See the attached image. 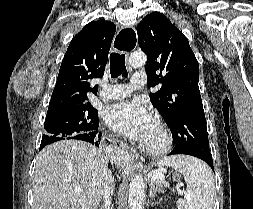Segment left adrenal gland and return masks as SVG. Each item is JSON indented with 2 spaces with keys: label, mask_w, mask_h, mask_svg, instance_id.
<instances>
[{
  "label": "left adrenal gland",
  "mask_w": 253,
  "mask_h": 209,
  "mask_svg": "<svg viewBox=\"0 0 253 209\" xmlns=\"http://www.w3.org/2000/svg\"><path fill=\"white\" fill-rule=\"evenodd\" d=\"M156 193H157V189L155 188V185L151 184L150 191H149L150 199L155 198Z\"/></svg>",
  "instance_id": "1"
}]
</instances>
